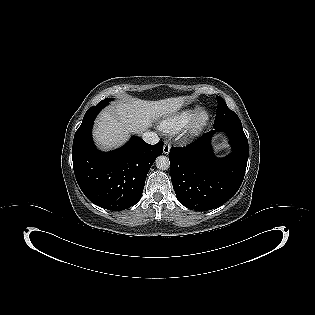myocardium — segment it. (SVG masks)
Masks as SVG:
<instances>
[{"instance_id": "myocardium-1", "label": "myocardium", "mask_w": 315, "mask_h": 315, "mask_svg": "<svg viewBox=\"0 0 315 315\" xmlns=\"http://www.w3.org/2000/svg\"><path fill=\"white\" fill-rule=\"evenodd\" d=\"M210 122V113L206 109H199L190 123L186 126L184 140L192 141L198 138Z\"/></svg>"}]
</instances>
